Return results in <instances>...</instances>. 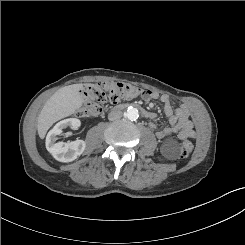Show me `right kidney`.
I'll return each instance as SVG.
<instances>
[{
	"label": "right kidney",
	"mask_w": 245,
	"mask_h": 245,
	"mask_svg": "<svg viewBox=\"0 0 245 245\" xmlns=\"http://www.w3.org/2000/svg\"><path fill=\"white\" fill-rule=\"evenodd\" d=\"M79 126V119L68 118L58 122L47 134L46 148L57 161L72 162L84 152L86 143L83 140H75L67 143L55 142L57 136L62 133L63 129L67 127L78 129Z\"/></svg>",
	"instance_id": "1"
}]
</instances>
